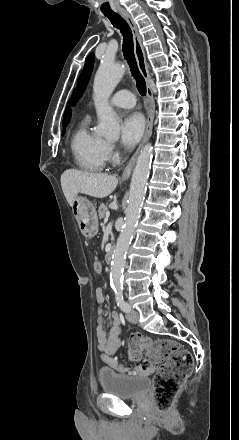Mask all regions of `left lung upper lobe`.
Returning a JSON list of instances; mask_svg holds the SVG:
<instances>
[{
  "label": "left lung upper lobe",
  "instance_id": "1",
  "mask_svg": "<svg viewBox=\"0 0 239 440\" xmlns=\"http://www.w3.org/2000/svg\"><path fill=\"white\" fill-rule=\"evenodd\" d=\"M93 63H94V54L91 53L87 57L85 65H84V69H83L82 73L80 74V76L78 78L77 88L73 92L74 98H73V101H72V105H74L76 103V100L83 93V91H84V89L86 87V84L88 82V79H89V77L91 75V72L93 70Z\"/></svg>",
  "mask_w": 239,
  "mask_h": 440
}]
</instances>
